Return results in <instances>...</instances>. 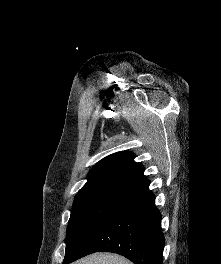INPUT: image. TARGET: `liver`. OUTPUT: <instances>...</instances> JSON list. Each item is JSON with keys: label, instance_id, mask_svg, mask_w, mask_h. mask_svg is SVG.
<instances>
[{"label": "liver", "instance_id": "1", "mask_svg": "<svg viewBox=\"0 0 221 264\" xmlns=\"http://www.w3.org/2000/svg\"><path fill=\"white\" fill-rule=\"evenodd\" d=\"M73 264H133L126 258L110 253H97L78 260Z\"/></svg>", "mask_w": 221, "mask_h": 264}]
</instances>
